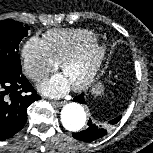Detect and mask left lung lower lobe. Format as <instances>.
<instances>
[{
  "label": "left lung lower lobe",
  "instance_id": "1",
  "mask_svg": "<svg viewBox=\"0 0 153 153\" xmlns=\"http://www.w3.org/2000/svg\"><path fill=\"white\" fill-rule=\"evenodd\" d=\"M73 101L85 104L84 100V94H81L73 99ZM121 115L117 118L111 120L109 123L114 125L116 124L120 119ZM107 134L106 129L101 128V126L97 125L96 123L92 122L91 119L88 121V128L78 132V133H72V136L80 141L88 142V141H94L97 140Z\"/></svg>",
  "mask_w": 153,
  "mask_h": 153
}]
</instances>
